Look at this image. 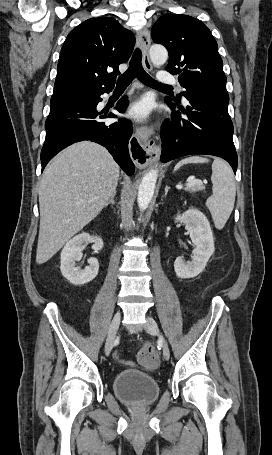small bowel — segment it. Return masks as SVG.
Segmentation results:
<instances>
[{"label": "small bowel", "mask_w": 272, "mask_h": 455, "mask_svg": "<svg viewBox=\"0 0 272 455\" xmlns=\"http://www.w3.org/2000/svg\"><path fill=\"white\" fill-rule=\"evenodd\" d=\"M124 363H125V364H128V365H133V362L128 361V360L124 361Z\"/></svg>", "instance_id": "c3829d8e"}]
</instances>
